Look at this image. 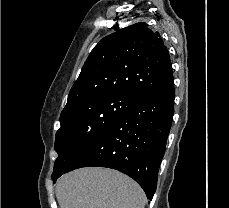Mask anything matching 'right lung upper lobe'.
I'll list each match as a JSON object with an SVG mask.
<instances>
[{"instance_id": "obj_1", "label": "right lung upper lobe", "mask_w": 229, "mask_h": 208, "mask_svg": "<svg viewBox=\"0 0 229 208\" xmlns=\"http://www.w3.org/2000/svg\"><path fill=\"white\" fill-rule=\"evenodd\" d=\"M144 22L104 37L91 51L61 116L91 99L118 94L140 100L173 80L169 52Z\"/></svg>"}]
</instances>
